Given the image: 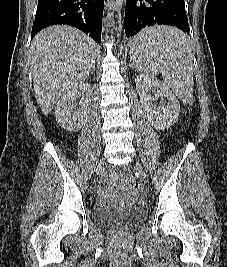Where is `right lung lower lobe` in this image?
Here are the masks:
<instances>
[{"label": "right lung lower lobe", "mask_w": 227, "mask_h": 267, "mask_svg": "<svg viewBox=\"0 0 227 267\" xmlns=\"http://www.w3.org/2000/svg\"><path fill=\"white\" fill-rule=\"evenodd\" d=\"M104 0H39L31 39L43 28L68 24L101 41Z\"/></svg>", "instance_id": "obj_1"}]
</instances>
